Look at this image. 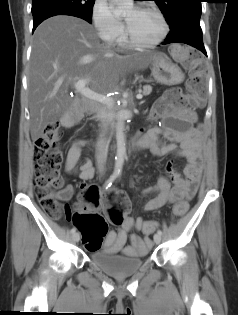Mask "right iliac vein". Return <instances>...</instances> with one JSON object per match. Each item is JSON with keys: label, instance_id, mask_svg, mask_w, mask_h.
Masks as SVG:
<instances>
[{"label": "right iliac vein", "instance_id": "right-iliac-vein-1", "mask_svg": "<svg viewBox=\"0 0 238 315\" xmlns=\"http://www.w3.org/2000/svg\"><path fill=\"white\" fill-rule=\"evenodd\" d=\"M73 240L74 242H78L80 240V234L78 232L73 234Z\"/></svg>", "mask_w": 238, "mask_h": 315}]
</instances>
